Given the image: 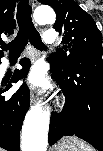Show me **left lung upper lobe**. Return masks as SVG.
I'll list each match as a JSON object with an SVG mask.
<instances>
[{"instance_id":"left-lung-upper-lobe-1","label":"left lung upper lobe","mask_w":103,"mask_h":151,"mask_svg":"<svg viewBox=\"0 0 103 151\" xmlns=\"http://www.w3.org/2000/svg\"><path fill=\"white\" fill-rule=\"evenodd\" d=\"M56 12L53 28L62 37L63 48L50 55L48 61L59 71H67L81 57L103 54L102 35L93 18L74 0H42Z\"/></svg>"}]
</instances>
